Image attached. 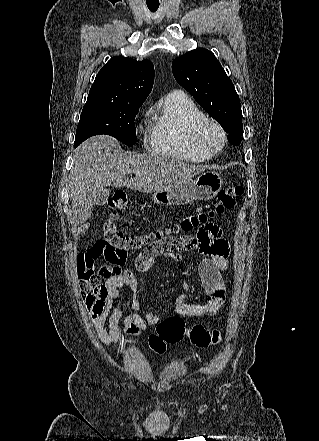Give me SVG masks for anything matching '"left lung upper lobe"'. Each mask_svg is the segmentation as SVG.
Returning a JSON list of instances; mask_svg holds the SVG:
<instances>
[{
	"label": "left lung upper lobe",
	"instance_id": "left-lung-upper-lobe-1",
	"mask_svg": "<svg viewBox=\"0 0 319 441\" xmlns=\"http://www.w3.org/2000/svg\"><path fill=\"white\" fill-rule=\"evenodd\" d=\"M172 71L176 81L223 127L228 139L235 136L239 145L243 135L240 100L215 55L204 48L189 51L173 61Z\"/></svg>",
	"mask_w": 319,
	"mask_h": 441
}]
</instances>
